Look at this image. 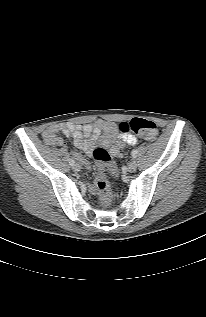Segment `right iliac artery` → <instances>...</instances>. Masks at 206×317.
Returning a JSON list of instances; mask_svg holds the SVG:
<instances>
[{"instance_id": "82829eb1", "label": "right iliac artery", "mask_w": 206, "mask_h": 317, "mask_svg": "<svg viewBox=\"0 0 206 317\" xmlns=\"http://www.w3.org/2000/svg\"><path fill=\"white\" fill-rule=\"evenodd\" d=\"M69 163L71 166H73L75 164V161L73 159H70Z\"/></svg>"}]
</instances>
